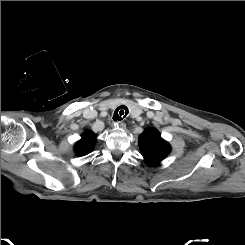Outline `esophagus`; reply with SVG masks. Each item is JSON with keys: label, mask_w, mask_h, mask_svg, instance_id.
<instances>
[{"label": "esophagus", "mask_w": 245, "mask_h": 245, "mask_svg": "<svg viewBox=\"0 0 245 245\" xmlns=\"http://www.w3.org/2000/svg\"><path fill=\"white\" fill-rule=\"evenodd\" d=\"M115 126H118L120 129H125L126 128V124L124 122H115Z\"/></svg>", "instance_id": "esophagus-1"}]
</instances>
